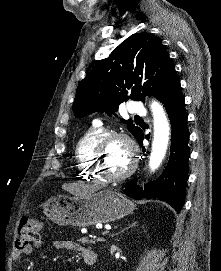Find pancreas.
<instances>
[{
  "label": "pancreas",
  "mask_w": 221,
  "mask_h": 271,
  "mask_svg": "<svg viewBox=\"0 0 221 271\" xmlns=\"http://www.w3.org/2000/svg\"><path fill=\"white\" fill-rule=\"evenodd\" d=\"M78 242L81 244H89L91 247L94 244H98V239H89V237H78Z\"/></svg>",
  "instance_id": "pancreas-1"
}]
</instances>
